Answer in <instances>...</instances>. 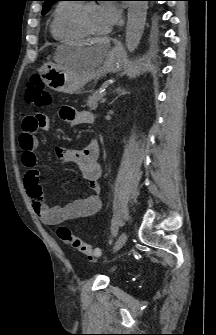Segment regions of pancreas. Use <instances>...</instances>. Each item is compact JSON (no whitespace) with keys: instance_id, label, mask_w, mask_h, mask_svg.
I'll use <instances>...</instances> for the list:
<instances>
[{"instance_id":"obj_1","label":"pancreas","mask_w":216,"mask_h":335,"mask_svg":"<svg viewBox=\"0 0 216 335\" xmlns=\"http://www.w3.org/2000/svg\"><path fill=\"white\" fill-rule=\"evenodd\" d=\"M105 93H100L99 90L93 92L87 100V106L91 110H95L98 107V102L104 97Z\"/></svg>"}]
</instances>
